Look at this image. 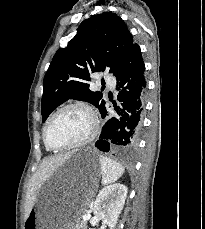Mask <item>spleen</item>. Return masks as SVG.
<instances>
[{
	"label": "spleen",
	"mask_w": 205,
	"mask_h": 229,
	"mask_svg": "<svg viewBox=\"0 0 205 229\" xmlns=\"http://www.w3.org/2000/svg\"><path fill=\"white\" fill-rule=\"evenodd\" d=\"M102 174V184L107 185L118 180L124 173V167L105 156L99 157Z\"/></svg>",
	"instance_id": "spleen-1"
}]
</instances>
